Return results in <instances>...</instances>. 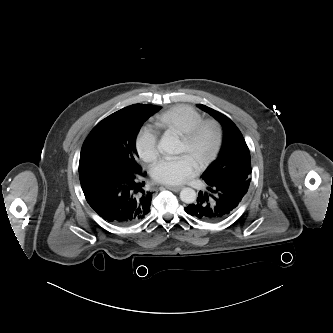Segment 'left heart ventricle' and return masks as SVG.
I'll use <instances>...</instances> for the list:
<instances>
[{
    "label": "left heart ventricle",
    "instance_id": "b2bd125f",
    "mask_svg": "<svg viewBox=\"0 0 333 333\" xmlns=\"http://www.w3.org/2000/svg\"><path fill=\"white\" fill-rule=\"evenodd\" d=\"M215 135L211 128L205 129L196 143L190 147L182 139L180 142L179 153L188 155L197 165L198 162L205 158L212 150L214 145Z\"/></svg>",
    "mask_w": 333,
    "mask_h": 333
}]
</instances>
